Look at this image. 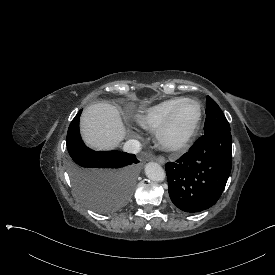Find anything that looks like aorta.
Segmentation results:
<instances>
[{"mask_svg": "<svg viewBox=\"0 0 275 275\" xmlns=\"http://www.w3.org/2000/svg\"><path fill=\"white\" fill-rule=\"evenodd\" d=\"M145 174L152 181H163L165 172L163 168L156 162H149L145 165Z\"/></svg>", "mask_w": 275, "mask_h": 275, "instance_id": "obj_1", "label": "aorta"}]
</instances>
